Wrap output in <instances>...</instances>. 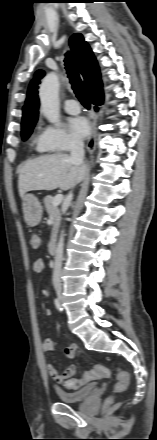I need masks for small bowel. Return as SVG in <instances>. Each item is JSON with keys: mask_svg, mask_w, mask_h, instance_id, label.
<instances>
[{"mask_svg": "<svg viewBox=\"0 0 157 440\" xmlns=\"http://www.w3.org/2000/svg\"><path fill=\"white\" fill-rule=\"evenodd\" d=\"M36 272H41L43 269H36L34 268ZM45 315L49 316L51 315V310L46 309ZM54 349V341L51 338H46L42 341V350L43 352H51ZM65 353L68 357L72 358L76 354V347L70 346L66 348ZM47 372L50 375V377L58 384H63L64 380H66L69 377H72L76 374L77 368L75 365H70L68 368L62 373L59 374L57 369L52 364H47L46 366Z\"/></svg>", "mask_w": 157, "mask_h": 440, "instance_id": "small-bowel-1", "label": "small bowel"}]
</instances>
